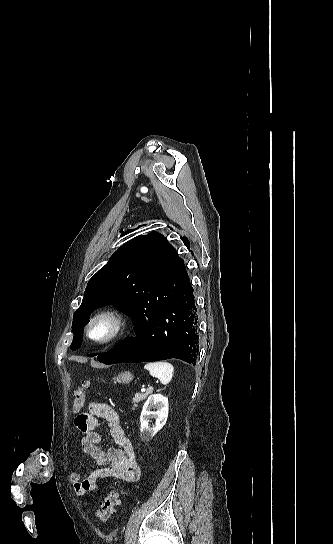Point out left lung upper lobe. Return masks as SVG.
<instances>
[{
    "mask_svg": "<svg viewBox=\"0 0 333 544\" xmlns=\"http://www.w3.org/2000/svg\"><path fill=\"white\" fill-rule=\"evenodd\" d=\"M183 259L158 232L137 236L122 245L88 282L73 316L76 350L89 314L108 302L126 311L137 325L153 319L187 286Z\"/></svg>",
    "mask_w": 333,
    "mask_h": 544,
    "instance_id": "5c2ea615",
    "label": "left lung upper lobe"
}]
</instances>
